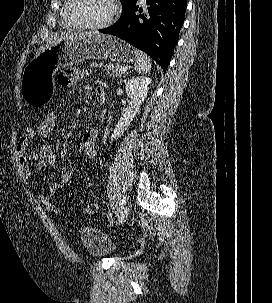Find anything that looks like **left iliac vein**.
I'll return each instance as SVG.
<instances>
[{
    "mask_svg": "<svg viewBox=\"0 0 272 303\" xmlns=\"http://www.w3.org/2000/svg\"><path fill=\"white\" fill-rule=\"evenodd\" d=\"M129 207L128 206H124L123 208H122V210L120 211V213H119V217H118V219H117V224L118 225H121V224H123L126 220H127V218H128V216H129Z\"/></svg>",
    "mask_w": 272,
    "mask_h": 303,
    "instance_id": "obj_1",
    "label": "left iliac vein"
}]
</instances>
